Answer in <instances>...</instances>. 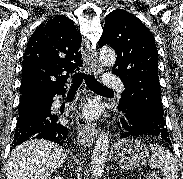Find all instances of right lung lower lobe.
<instances>
[{"label":"right lung lower lobe","instance_id":"right-lung-lower-lobe-1","mask_svg":"<svg viewBox=\"0 0 183 179\" xmlns=\"http://www.w3.org/2000/svg\"><path fill=\"white\" fill-rule=\"evenodd\" d=\"M56 94L64 95L65 89H41L31 95L28 105L19 113L12 148L35 138L64 146L68 128L58 121L59 115L51 113L53 97Z\"/></svg>","mask_w":183,"mask_h":179}]
</instances>
